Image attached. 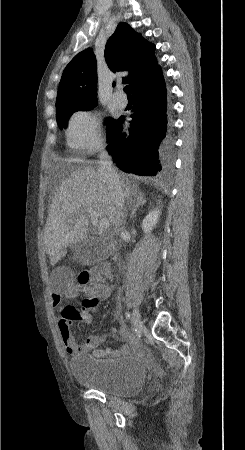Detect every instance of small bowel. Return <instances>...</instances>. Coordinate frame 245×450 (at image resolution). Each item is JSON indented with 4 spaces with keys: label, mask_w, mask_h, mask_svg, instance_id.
<instances>
[{
    "label": "small bowel",
    "mask_w": 245,
    "mask_h": 450,
    "mask_svg": "<svg viewBox=\"0 0 245 450\" xmlns=\"http://www.w3.org/2000/svg\"><path fill=\"white\" fill-rule=\"evenodd\" d=\"M112 291V287L105 284L102 280V276L100 274L95 275V283L93 286V296L92 299L97 302L98 300H103L109 297ZM77 288L72 287L70 291L65 295L67 298L74 297L76 295ZM63 299V296L60 294H52L50 297V304L53 307L58 306ZM79 313L81 315L80 320L86 324H93V316L91 310L79 309ZM118 318H120V313H116ZM59 331L62 342L66 348L68 354L72 356H77L80 354H85L89 352H93L95 355L101 354H112V355H120L127 352L131 347L134 348L137 346V340L129 335L126 336L128 344L121 346L119 348H107L104 350L98 349V346L101 343V338L96 335H92L87 337L82 343H76L73 339L70 331V325L66 321L59 322ZM115 332V330H113Z\"/></svg>",
    "instance_id": "1"
}]
</instances>
